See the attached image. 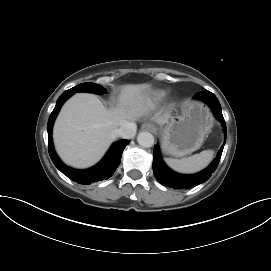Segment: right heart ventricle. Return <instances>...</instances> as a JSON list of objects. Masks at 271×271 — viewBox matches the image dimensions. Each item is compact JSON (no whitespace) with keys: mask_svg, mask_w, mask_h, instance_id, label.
I'll return each mask as SVG.
<instances>
[{"mask_svg":"<svg viewBox=\"0 0 271 271\" xmlns=\"http://www.w3.org/2000/svg\"><path fill=\"white\" fill-rule=\"evenodd\" d=\"M166 93L163 90H157V91H153L151 92L147 97H146V102L148 103H156L158 101H160L161 99H163L165 97Z\"/></svg>","mask_w":271,"mask_h":271,"instance_id":"e07e8e85","label":"right heart ventricle"}]
</instances>
